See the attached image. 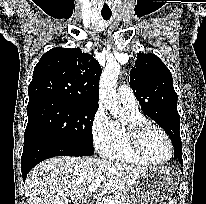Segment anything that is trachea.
Returning a JSON list of instances; mask_svg holds the SVG:
<instances>
[{"label": "trachea", "mask_w": 206, "mask_h": 204, "mask_svg": "<svg viewBox=\"0 0 206 204\" xmlns=\"http://www.w3.org/2000/svg\"><path fill=\"white\" fill-rule=\"evenodd\" d=\"M104 20H109L111 17V13H101Z\"/></svg>", "instance_id": "3493384b"}]
</instances>
